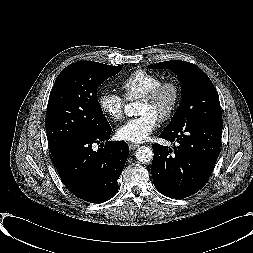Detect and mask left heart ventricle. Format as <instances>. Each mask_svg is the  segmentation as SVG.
I'll return each instance as SVG.
<instances>
[{
	"label": "left heart ventricle",
	"mask_w": 253,
	"mask_h": 253,
	"mask_svg": "<svg viewBox=\"0 0 253 253\" xmlns=\"http://www.w3.org/2000/svg\"><path fill=\"white\" fill-rule=\"evenodd\" d=\"M173 101V91L171 89H165L160 96L152 103H145L139 101L137 114H149L155 119H158L163 113H165L170 107Z\"/></svg>",
	"instance_id": "1"
}]
</instances>
